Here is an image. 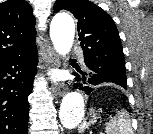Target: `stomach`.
<instances>
[{
    "label": "stomach",
    "mask_w": 153,
    "mask_h": 134,
    "mask_svg": "<svg viewBox=\"0 0 153 134\" xmlns=\"http://www.w3.org/2000/svg\"><path fill=\"white\" fill-rule=\"evenodd\" d=\"M97 119V111L91 110L89 113V122L94 123Z\"/></svg>",
    "instance_id": "obj_1"
}]
</instances>
